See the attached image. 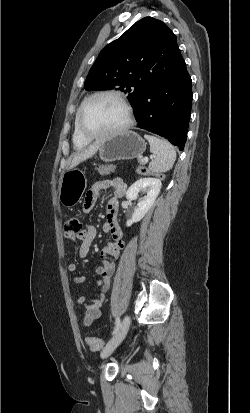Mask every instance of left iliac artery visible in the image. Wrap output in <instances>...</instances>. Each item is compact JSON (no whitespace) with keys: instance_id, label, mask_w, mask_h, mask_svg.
I'll list each match as a JSON object with an SVG mask.
<instances>
[{"instance_id":"left-iliac-artery-1","label":"left iliac artery","mask_w":250,"mask_h":413,"mask_svg":"<svg viewBox=\"0 0 250 413\" xmlns=\"http://www.w3.org/2000/svg\"><path fill=\"white\" fill-rule=\"evenodd\" d=\"M120 325V319L117 317L115 322V328L112 334H115L117 332V330L120 328Z\"/></svg>"}]
</instances>
